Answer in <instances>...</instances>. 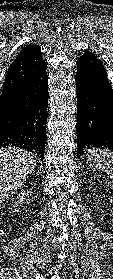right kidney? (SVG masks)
Masks as SVG:
<instances>
[{
	"label": "right kidney",
	"instance_id": "obj_1",
	"mask_svg": "<svg viewBox=\"0 0 113 279\" xmlns=\"http://www.w3.org/2000/svg\"><path fill=\"white\" fill-rule=\"evenodd\" d=\"M28 195H29V191L28 190L27 191L22 190L20 192V194L18 195V197H17L18 200L14 203V207L16 209H20V206L23 205V202H24V200H26V197H28Z\"/></svg>",
	"mask_w": 113,
	"mask_h": 279
}]
</instances>
